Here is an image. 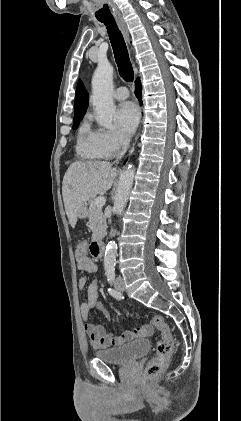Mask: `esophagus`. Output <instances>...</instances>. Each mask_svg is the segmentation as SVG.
<instances>
[{"label": "esophagus", "mask_w": 241, "mask_h": 421, "mask_svg": "<svg viewBox=\"0 0 241 421\" xmlns=\"http://www.w3.org/2000/svg\"><path fill=\"white\" fill-rule=\"evenodd\" d=\"M116 22H117L125 40L127 42H129V32H128V29H127V26H126V23H125L124 19L122 17L118 16V17H116ZM138 136H139V133L137 134V136L135 138V142H134L133 146L135 145V143L138 139Z\"/></svg>", "instance_id": "1"}]
</instances>
